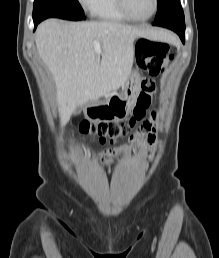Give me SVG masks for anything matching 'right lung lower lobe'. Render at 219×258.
<instances>
[{
	"label": "right lung lower lobe",
	"instance_id": "98d812e1",
	"mask_svg": "<svg viewBox=\"0 0 219 258\" xmlns=\"http://www.w3.org/2000/svg\"><path fill=\"white\" fill-rule=\"evenodd\" d=\"M50 17H57V18H62V19H66V20H73V21H78V20H85L86 17L84 15H76V14H72V13H66V12H62V11H55L49 14ZM48 17V18H50ZM46 19V18H45ZM44 19L41 20H37L34 21V26L35 29L37 27V25Z\"/></svg>",
	"mask_w": 219,
	"mask_h": 258
}]
</instances>
